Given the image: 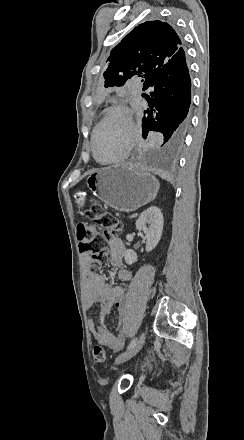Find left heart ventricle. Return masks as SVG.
Returning a JSON list of instances; mask_svg holds the SVG:
<instances>
[{
	"label": "left heart ventricle",
	"instance_id": "1",
	"mask_svg": "<svg viewBox=\"0 0 244 440\" xmlns=\"http://www.w3.org/2000/svg\"><path fill=\"white\" fill-rule=\"evenodd\" d=\"M96 138L95 148L100 159L106 160L118 155V148L122 142V136H128L133 130L127 114L112 111L109 121L101 128ZM122 131V134L120 133Z\"/></svg>",
	"mask_w": 244,
	"mask_h": 440
}]
</instances>
